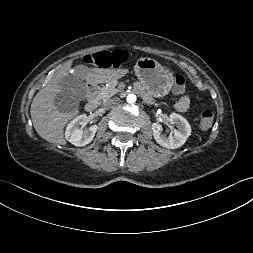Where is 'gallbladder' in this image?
I'll return each instance as SVG.
<instances>
[{
    "label": "gallbladder",
    "instance_id": "gallbladder-1",
    "mask_svg": "<svg viewBox=\"0 0 253 253\" xmlns=\"http://www.w3.org/2000/svg\"><path fill=\"white\" fill-rule=\"evenodd\" d=\"M62 90L54 97V105L61 112L73 113L86 95V84L76 76L61 80Z\"/></svg>",
    "mask_w": 253,
    "mask_h": 253
}]
</instances>
